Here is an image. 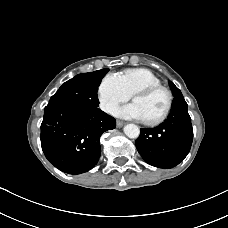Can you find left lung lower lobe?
<instances>
[{
	"label": "left lung lower lobe",
	"mask_w": 228,
	"mask_h": 228,
	"mask_svg": "<svg viewBox=\"0 0 228 228\" xmlns=\"http://www.w3.org/2000/svg\"><path fill=\"white\" fill-rule=\"evenodd\" d=\"M188 105L182 94L174 96L168 118L159 126L140 129L135 142L138 152L149 164L159 168H173L189 153L193 128Z\"/></svg>",
	"instance_id": "obj_1"
}]
</instances>
